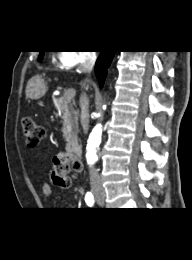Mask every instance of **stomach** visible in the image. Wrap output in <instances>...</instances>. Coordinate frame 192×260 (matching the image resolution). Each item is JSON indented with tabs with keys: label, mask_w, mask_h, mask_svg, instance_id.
Masks as SVG:
<instances>
[{
	"label": "stomach",
	"mask_w": 192,
	"mask_h": 260,
	"mask_svg": "<svg viewBox=\"0 0 192 260\" xmlns=\"http://www.w3.org/2000/svg\"><path fill=\"white\" fill-rule=\"evenodd\" d=\"M47 90L46 84L43 79L36 76L33 77L27 85V97L30 99L41 98Z\"/></svg>",
	"instance_id": "1"
}]
</instances>
